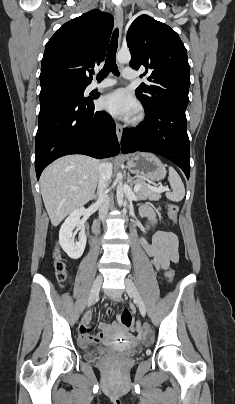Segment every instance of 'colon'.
<instances>
[{"mask_svg": "<svg viewBox=\"0 0 235 404\" xmlns=\"http://www.w3.org/2000/svg\"><path fill=\"white\" fill-rule=\"evenodd\" d=\"M169 213L171 217H174L178 212V206L176 204H169ZM55 269L57 272V277L60 281H64L66 279V267L62 260L61 254L59 251L55 254ZM166 277L169 282H171L174 278V270L168 268L166 271ZM120 322L123 326L131 330H137L139 328L138 323H134L132 314L130 310L124 309L120 316Z\"/></svg>", "mask_w": 235, "mask_h": 404, "instance_id": "5ec220e1", "label": "colon"}]
</instances>
